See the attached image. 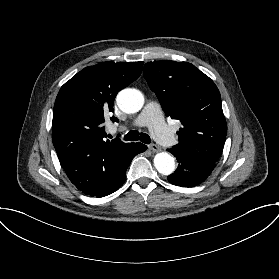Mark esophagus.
Segmentation results:
<instances>
[{
    "mask_svg": "<svg viewBox=\"0 0 279 279\" xmlns=\"http://www.w3.org/2000/svg\"><path fill=\"white\" fill-rule=\"evenodd\" d=\"M148 148H149L151 151L156 152V153L161 151V149L159 148V146H157L156 144H150V145H148Z\"/></svg>",
    "mask_w": 279,
    "mask_h": 279,
    "instance_id": "1",
    "label": "esophagus"
}]
</instances>
